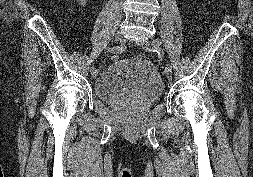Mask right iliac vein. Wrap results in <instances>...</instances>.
I'll return each instance as SVG.
<instances>
[{
	"mask_svg": "<svg viewBox=\"0 0 253 177\" xmlns=\"http://www.w3.org/2000/svg\"><path fill=\"white\" fill-rule=\"evenodd\" d=\"M116 42H123V36L122 33L119 31L115 34L114 37ZM91 75L93 78H95L98 75V71L97 70H91Z\"/></svg>",
	"mask_w": 253,
	"mask_h": 177,
	"instance_id": "right-iliac-vein-1",
	"label": "right iliac vein"
}]
</instances>
